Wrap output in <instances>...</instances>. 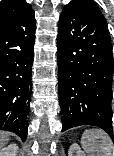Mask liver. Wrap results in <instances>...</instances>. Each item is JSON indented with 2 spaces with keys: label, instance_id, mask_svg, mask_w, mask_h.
I'll use <instances>...</instances> for the list:
<instances>
[{
  "label": "liver",
  "instance_id": "liver-1",
  "mask_svg": "<svg viewBox=\"0 0 114 156\" xmlns=\"http://www.w3.org/2000/svg\"><path fill=\"white\" fill-rule=\"evenodd\" d=\"M10 139V133L6 131H0V150L8 143Z\"/></svg>",
  "mask_w": 114,
  "mask_h": 156
}]
</instances>
